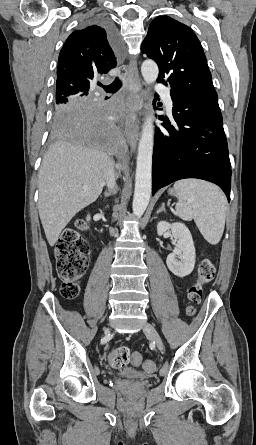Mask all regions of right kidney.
<instances>
[{
	"mask_svg": "<svg viewBox=\"0 0 256 445\" xmlns=\"http://www.w3.org/2000/svg\"><path fill=\"white\" fill-rule=\"evenodd\" d=\"M86 219H87V221H89L90 220V215H88Z\"/></svg>",
	"mask_w": 256,
	"mask_h": 445,
	"instance_id": "right-kidney-1",
	"label": "right kidney"
}]
</instances>
